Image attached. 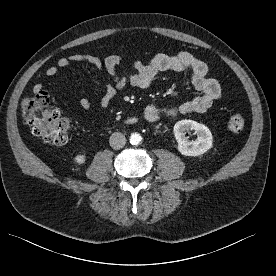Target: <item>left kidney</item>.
<instances>
[{
    "instance_id": "obj_1",
    "label": "left kidney",
    "mask_w": 276,
    "mask_h": 276,
    "mask_svg": "<svg viewBox=\"0 0 276 276\" xmlns=\"http://www.w3.org/2000/svg\"><path fill=\"white\" fill-rule=\"evenodd\" d=\"M194 131L196 140H188L186 132ZM178 151L184 156H199L208 151L213 145L212 133L208 127L193 120H181L174 125Z\"/></svg>"
}]
</instances>
